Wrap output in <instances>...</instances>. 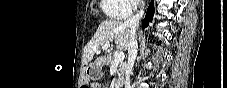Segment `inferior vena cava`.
<instances>
[{"instance_id": "602c4592", "label": "inferior vena cava", "mask_w": 227, "mask_h": 88, "mask_svg": "<svg viewBox=\"0 0 227 88\" xmlns=\"http://www.w3.org/2000/svg\"><path fill=\"white\" fill-rule=\"evenodd\" d=\"M144 10L140 9L135 15L129 17L125 22L124 26L130 30L129 43H128V65L126 68L125 75V88H130V73L132 71L134 62L137 57L138 43L136 36V28L139 25V21L143 17Z\"/></svg>"}]
</instances>
